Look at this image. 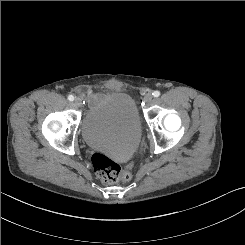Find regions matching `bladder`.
<instances>
[{"label": "bladder", "mask_w": 245, "mask_h": 245, "mask_svg": "<svg viewBox=\"0 0 245 245\" xmlns=\"http://www.w3.org/2000/svg\"><path fill=\"white\" fill-rule=\"evenodd\" d=\"M141 121L134 99L125 92L101 96L81 122V135L92 149L118 158L132 155L141 140Z\"/></svg>", "instance_id": "obj_1"}]
</instances>
